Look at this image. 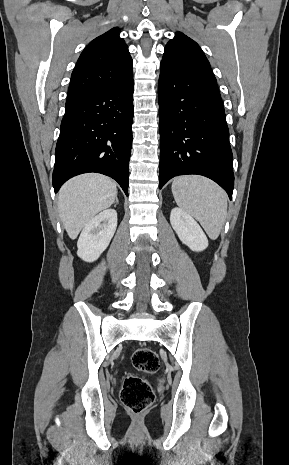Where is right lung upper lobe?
I'll return each instance as SVG.
<instances>
[{
	"label": "right lung upper lobe",
	"mask_w": 289,
	"mask_h": 465,
	"mask_svg": "<svg viewBox=\"0 0 289 465\" xmlns=\"http://www.w3.org/2000/svg\"><path fill=\"white\" fill-rule=\"evenodd\" d=\"M115 27L95 38L81 53L72 72L67 102L124 83L133 75V61Z\"/></svg>",
	"instance_id": "1"
}]
</instances>
